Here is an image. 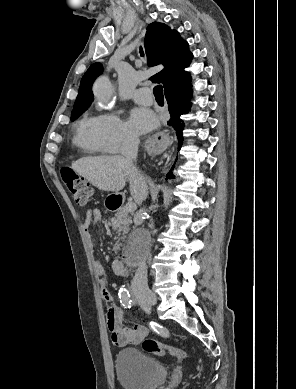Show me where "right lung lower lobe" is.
<instances>
[{
  "label": "right lung lower lobe",
  "instance_id": "98d812e1",
  "mask_svg": "<svg viewBox=\"0 0 296 389\" xmlns=\"http://www.w3.org/2000/svg\"><path fill=\"white\" fill-rule=\"evenodd\" d=\"M190 80H174L164 88V93L168 102L169 112L171 115L168 124L171 125L176 131L178 138V149L181 148L183 138L182 130L184 126L183 120L180 118L182 114H186L190 110L189 100L192 94L191 86L189 85ZM177 160V158H176ZM167 174V178H173L172 169Z\"/></svg>",
  "mask_w": 296,
  "mask_h": 389
}]
</instances>
